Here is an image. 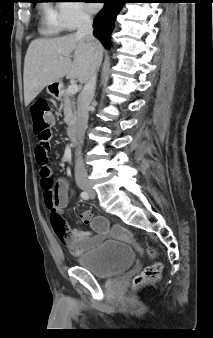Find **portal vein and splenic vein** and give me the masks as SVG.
Instances as JSON below:
<instances>
[{
	"mask_svg": "<svg viewBox=\"0 0 213 338\" xmlns=\"http://www.w3.org/2000/svg\"><path fill=\"white\" fill-rule=\"evenodd\" d=\"M67 92L71 95L76 94L78 92V85L77 84H71L68 87Z\"/></svg>",
	"mask_w": 213,
	"mask_h": 338,
	"instance_id": "obj_1",
	"label": "portal vein and splenic vein"
}]
</instances>
